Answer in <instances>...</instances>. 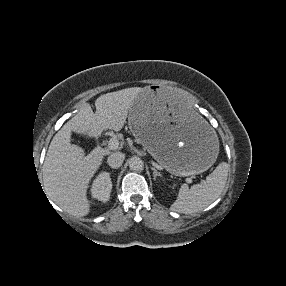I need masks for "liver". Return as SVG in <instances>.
Returning <instances> with one entry per match:
<instances>
[{"label": "liver", "instance_id": "6515ba94", "mask_svg": "<svg viewBox=\"0 0 286 286\" xmlns=\"http://www.w3.org/2000/svg\"><path fill=\"white\" fill-rule=\"evenodd\" d=\"M141 91L133 87L101 95L95 101L96 113L86 105L53 137L43 164V183L48 197L67 213L89 214L87 189L107 154L95 148L85 156L84 149L71 143L72 132L96 138L105 129L120 131Z\"/></svg>", "mask_w": 286, "mask_h": 286}]
</instances>
